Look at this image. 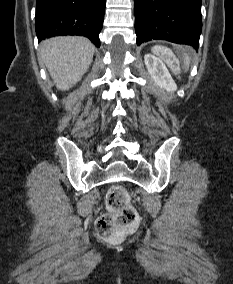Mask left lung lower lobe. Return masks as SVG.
Returning a JSON list of instances; mask_svg holds the SVG:
<instances>
[{"label": "left lung lower lobe", "mask_w": 233, "mask_h": 284, "mask_svg": "<svg viewBox=\"0 0 233 284\" xmlns=\"http://www.w3.org/2000/svg\"><path fill=\"white\" fill-rule=\"evenodd\" d=\"M137 45L152 39L196 50L202 28L201 0H134Z\"/></svg>", "instance_id": "obj_1"}]
</instances>
